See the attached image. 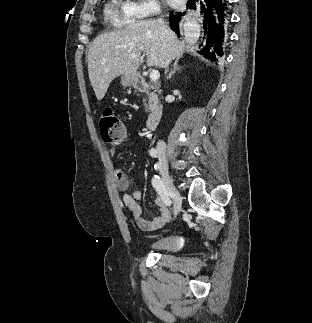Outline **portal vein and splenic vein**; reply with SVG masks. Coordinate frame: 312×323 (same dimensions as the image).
Wrapping results in <instances>:
<instances>
[{"label": "portal vein and splenic vein", "mask_w": 312, "mask_h": 323, "mask_svg": "<svg viewBox=\"0 0 312 323\" xmlns=\"http://www.w3.org/2000/svg\"><path fill=\"white\" fill-rule=\"evenodd\" d=\"M131 58H136V54H131ZM150 78L152 82H156V80H159L160 74L158 70H152V72H150Z\"/></svg>", "instance_id": "portal-vein-and-splenic-vein-1"}]
</instances>
